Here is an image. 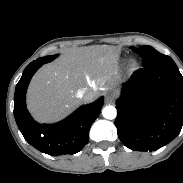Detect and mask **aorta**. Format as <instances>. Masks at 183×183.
Listing matches in <instances>:
<instances>
[{
    "label": "aorta",
    "instance_id": "obj_1",
    "mask_svg": "<svg viewBox=\"0 0 183 183\" xmlns=\"http://www.w3.org/2000/svg\"><path fill=\"white\" fill-rule=\"evenodd\" d=\"M102 115L104 118L112 120L116 118L117 110L114 106L109 105L103 108Z\"/></svg>",
    "mask_w": 183,
    "mask_h": 183
}]
</instances>
